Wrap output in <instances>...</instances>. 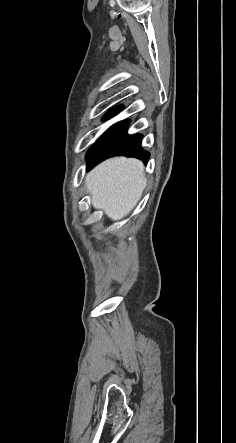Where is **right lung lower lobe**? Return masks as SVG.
Segmentation results:
<instances>
[{"label": "right lung lower lobe", "instance_id": "98d812e1", "mask_svg": "<svg viewBox=\"0 0 236 443\" xmlns=\"http://www.w3.org/2000/svg\"><path fill=\"white\" fill-rule=\"evenodd\" d=\"M120 109L121 108H115L110 110L104 116L103 120H107L114 116ZM129 124L130 120L114 124L89 149L87 153L88 170L109 157L119 155L135 157L142 160L144 163H147L150 154L141 149L142 135L129 136L125 132Z\"/></svg>", "mask_w": 236, "mask_h": 443}]
</instances>
